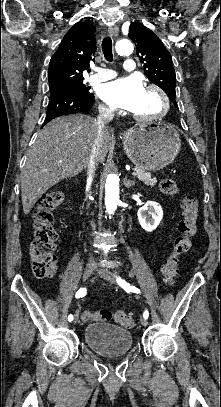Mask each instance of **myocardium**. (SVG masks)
<instances>
[{
    "instance_id": "f54148a6",
    "label": "myocardium",
    "mask_w": 221,
    "mask_h": 407,
    "mask_svg": "<svg viewBox=\"0 0 221 407\" xmlns=\"http://www.w3.org/2000/svg\"><path fill=\"white\" fill-rule=\"evenodd\" d=\"M145 90L155 92L158 95V97L160 99V103H161V109L155 115L144 116V115H137L135 113H132V117L135 120L141 121V122H153V121L162 119L167 114L169 107H170V101H169V97H168L167 93L165 92V90L162 87H160L159 85H156V84L147 85Z\"/></svg>"
}]
</instances>
